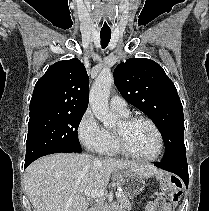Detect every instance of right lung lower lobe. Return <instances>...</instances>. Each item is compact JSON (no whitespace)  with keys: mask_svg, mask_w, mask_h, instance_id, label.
Instances as JSON below:
<instances>
[{"mask_svg":"<svg viewBox=\"0 0 209 211\" xmlns=\"http://www.w3.org/2000/svg\"><path fill=\"white\" fill-rule=\"evenodd\" d=\"M59 152L73 153V151H65V150L57 151V152H54V153H59ZM51 154H52V153H51ZM29 164H30V163H29ZM29 164H25V168H26Z\"/></svg>","mask_w":209,"mask_h":211,"instance_id":"1","label":"right lung lower lobe"}]
</instances>
